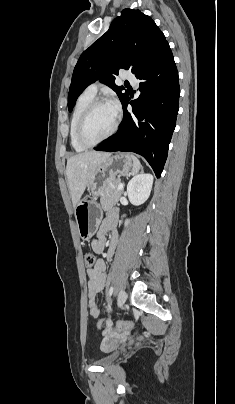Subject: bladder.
I'll return each mask as SVG.
<instances>
[{"instance_id":"bladder-1","label":"bladder","mask_w":235,"mask_h":404,"mask_svg":"<svg viewBox=\"0 0 235 404\" xmlns=\"http://www.w3.org/2000/svg\"><path fill=\"white\" fill-rule=\"evenodd\" d=\"M117 357H118L117 353L113 351L109 354L104 355L102 358H100L98 360V364H100L101 366H104V367L110 366L116 361Z\"/></svg>"}]
</instances>
